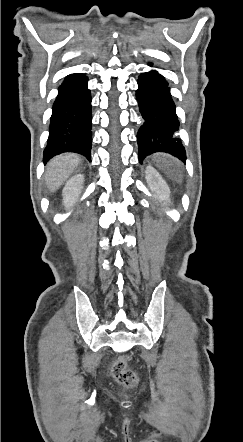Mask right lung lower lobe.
<instances>
[{"label":"right lung lower lobe","instance_id":"1","mask_svg":"<svg viewBox=\"0 0 243 442\" xmlns=\"http://www.w3.org/2000/svg\"><path fill=\"white\" fill-rule=\"evenodd\" d=\"M81 73L65 77L53 104L44 162L63 152H75L91 160V93Z\"/></svg>","mask_w":243,"mask_h":442}]
</instances>
